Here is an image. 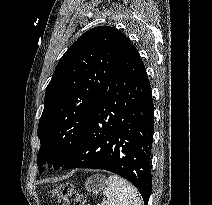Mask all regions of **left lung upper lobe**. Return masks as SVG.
<instances>
[{
  "instance_id": "left-lung-upper-lobe-1",
  "label": "left lung upper lobe",
  "mask_w": 212,
  "mask_h": 205,
  "mask_svg": "<svg viewBox=\"0 0 212 205\" xmlns=\"http://www.w3.org/2000/svg\"><path fill=\"white\" fill-rule=\"evenodd\" d=\"M130 46L121 31L100 26L82 34L61 57L46 88L38 125L40 173L46 162L58 169L75 153Z\"/></svg>"
}]
</instances>
